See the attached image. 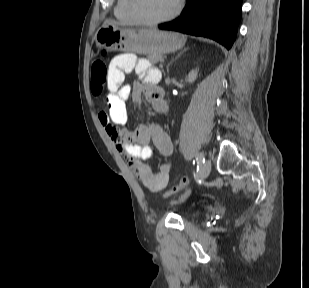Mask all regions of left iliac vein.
Masks as SVG:
<instances>
[{
    "instance_id": "left-iliac-vein-1",
    "label": "left iliac vein",
    "mask_w": 309,
    "mask_h": 288,
    "mask_svg": "<svg viewBox=\"0 0 309 288\" xmlns=\"http://www.w3.org/2000/svg\"><path fill=\"white\" fill-rule=\"evenodd\" d=\"M211 170V162L209 160L205 161L201 166L200 175L202 178H207ZM189 195V191L183 196L182 199L187 198Z\"/></svg>"
}]
</instances>
